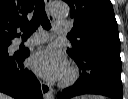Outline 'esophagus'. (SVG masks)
Wrapping results in <instances>:
<instances>
[{"mask_svg": "<svg viewBox=\"0 0 128 99\" xmlns=\"http://www.w3.org/2000/svg\"><path fill=\"white\" fill-rule=\"evenodd\" d=\"M51 0H45V5L48 11V8L50 6ZM49 18L50 20H54L53 16L50 15V13L48 12ZM41 91L42 94L44 96V98H50V96L52 95V88L49 84L45 83V82H41Z\"/></svg>", "mask_w": 128, "mask_h": 99, "instance_id": "1", "label": "esophagus"}]
</instances>
